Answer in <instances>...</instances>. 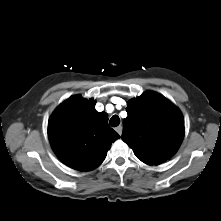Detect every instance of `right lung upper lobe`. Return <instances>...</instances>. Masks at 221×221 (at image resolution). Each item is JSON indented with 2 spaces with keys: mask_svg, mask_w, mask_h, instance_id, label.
<instances>
[{
  "mask_svg": "<svg viewBox=\"0 0 221 221\" xmlns=\"http://www.w3.org/2000/svg\"><path fill=\"white\" fill-rule=\"evenodd\" d=\"M53 151L66 165L79 171L98 167L111 144L120 138L108 126L105 112L95 110V101L75 95L53 112L48 123Z\"/></svg>",
  "mask_w": 221,
  "mask_h": 221,
  "instance_id": "1",
  "label": "right lung upper lobe"
}]
</instances>
